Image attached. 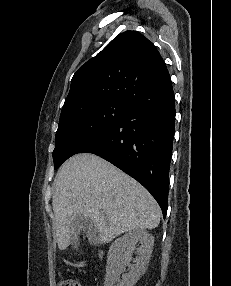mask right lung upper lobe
<instances>
[{"mask_svg": "<svg viewBox=\"0 0 231 286\" xmlns=\"http://www.w3.org/2000/svg\"><path fill=\"white\" fill-rule=\"evenodd\" d=\"M168 78L153 43L137 31L123 32L74 74L60 117L104 101L126 102Z\"/></svg>", "mask_w": 231, "mask_h": 286, "instance_id": "right-lung-upper-lobe-1", "label": "right lung upper lobe"}]
</instances>
